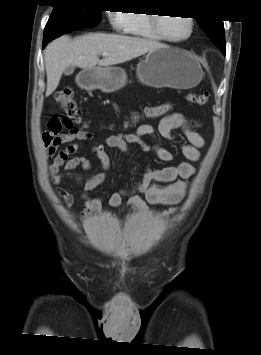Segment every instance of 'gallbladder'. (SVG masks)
Masks as SVG:
<instances>
[{"mask_svg": "<svg viewBox=\"0 0 261 355\" xmlns=\"http://www.w3.org/2000/svg\"><path fill=\"white\" fill-rule=\"evenodd\" d=\"M75 70V67L70 65L64 70L65 75H71Z\"/></svg>", "mask_w": 261, "mask_h": 355, "instance_id": "bac80fb5", "label": "gallbladder"}]
</instances>
